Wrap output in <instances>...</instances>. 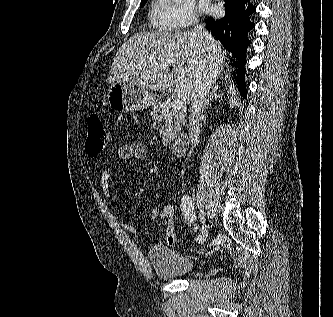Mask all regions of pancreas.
I'll return each instance as SVG.
<instances>
[{"label":"pancreas","mask_w":333,"mask_h":317,"mask_svg":"<svg viewBox=\"0 0 333 317\" xmlns=\"http://www.w3.org/2000/svg\"><path fill=\"white\" fill-rule=\"evenodd\" d=\"M151 114L158 122L159 134L166 146L182 131L186 123L185 114L180 110H173L169 103L155 102Z\"/></svg>","instance_id":"1"}]
</instances>
